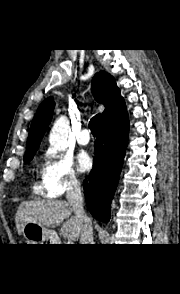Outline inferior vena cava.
Wrapping results in <instances>:
<instances>
[{
	"label": "inferior vena cava",
	"mask_w": 180,
	"mask_h": 294,
	"mask_svg": "<svg viewBox=\"0 0 180 294\" xmlns=\"http://www.w3.org/2000/svg\"><path fill=\"white\" fill-rule=\"evenodd\" d=\"M66 198L71 205L80 233V244H93V229L90 218L85 214L83 208V197L81 194L80 182L72 179L67 188Z\"/></svg>",
	"instance_id": "1"
}]
</instances>
